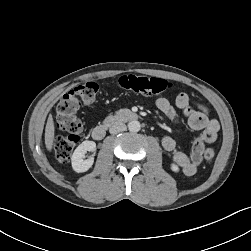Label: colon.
Instances as JSON below:
<instances>
[{
  "label": "colon",
  "instance_id": "1",
  "mask_svg": "<svg viewBox=\"0 0 251 251\" xmlns=\"http://www.w3.org/2000/svg\"><path fill=\"white\" fill-rule=\"evenodd\" d=\"M120 89L143 95H157L172 88L165 79L156 77L124 75L117 81ZM99 87L94 82L79 84L67 91L56 106V122L59 129L66 135L58 136L54 144L55 157L58 162L66 163L79 143L82 133V123L77 116L83 105L92 104L97 96ZM216 155V149L208 147L204 150L205 160L211 161Z\"/></svg>",
  "mask_w": 251,
  "mask_h": 251
}]
</instances>
